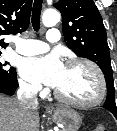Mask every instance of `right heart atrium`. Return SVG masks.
<instances>
[{
  "label": "right heart atrium",
  "mask_w": 117,
  "mask_h": 131,
  "mask_svg": "<svg viewBox=\"0 0 117 131\" xmlns=\"http://www.w3.org/2000/svg\"><path fill=\"white\" fill-rule=\"evenodd\" d=\"M20 88L29 95H38L42 92V88L39 84L24 80L20 81Z\"/></svg>",
  "instance_id": "obj_1"
}]
</instances>
